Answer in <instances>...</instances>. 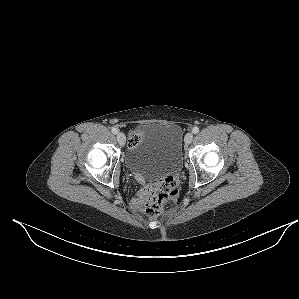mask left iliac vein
<instances>
[{"label":"left iliac vein","mask_w":299,"mask_h":299,"mask_svg":"<svg viewBox=\"0 0 299 299\" xmlns=\"http://www.w3.org/2000/svg\"><path fill=\"white\" fill-rule=\"evenodd\" d=\"M184 140L186 144H190L193 140V134L191 132L187 133Z\"/></svg>","instance_id":"obj_1"}]
</instances>
